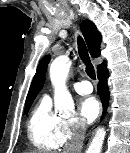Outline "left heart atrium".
Masks as SVG:
<instances>
[{
  "instance_id": "39dd6f15",
  "label": "left heart atrium",
  "mask_w": 130,
  "mask_h": 153,
  "mask_svg": "<svg viewBox=\"0 0 130 153\" xmlns=\"http://www.w3.org/2000/svg\"><path fill=\"white\" fill-rule=\"evenodd\" d=\"M80 115L86 121H93L99 114L100 106L97 99L93 96L83 97L78 104Z\"/></svg>"
}]
</instances>
